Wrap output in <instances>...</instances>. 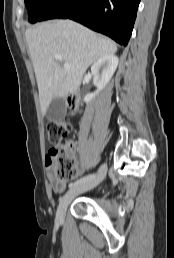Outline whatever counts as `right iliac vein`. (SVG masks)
<instances>
[{
  "label": "right iliac vein",
  "mask_w": 174,
  "mask_h": 258,
  "mask_svg": "<svg viewBox=\"0 0 174 258\" xmlns=\"http://www.w3.org/2000/svg\"><path fill=\"white\" fill-rule=\"evenodd\" d=\"M107 167L106 165H102L97 175L81 185H78L74 188H71L61 199L56 212V220L61 223L64 221L66 210L68 205L72 202V200L79 194L86 192L88 190L93 189L98 184H100L106 176Z\"/></svg>",
  "instance_id": "obj_1"
}]
</instances>
